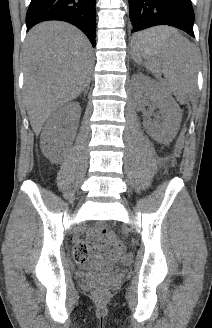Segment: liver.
<instances>
[{"label": "liver", "mask_w": 212, "mask_h": 328, "mask_svg": "<svg viewBox=\"0 0 212 328\" xmlns=\"http://www.w3.org/2000/svg\"><path fill=\"white\" fill-rule=\"evenodd\" d=\"M23 63L27 113L38 135L52 112L77 98L88 86L92 47L76 27L59 21L44 22L28 33Z\"/></svg>", "instance_id": "6515ba94"}]
</instances>
